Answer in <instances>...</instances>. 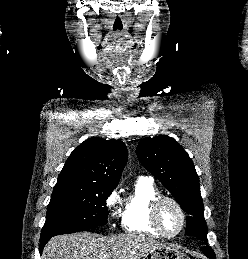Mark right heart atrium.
<instances>
[{"label": "right heart atrium", "instance_id": "obj_1", "mask_svg": "<svg viewBox=\"0 0 248 259\" xmlns=\"http://www.w3.org/2000/svg\"><path fill=\"white\" fill-rule=\"evenodd\" d=\"M118 203V192L114 190L107 198L106 205L109 209L113 210L116 208Z\"/></svg>", "mask_w": 248, "mask_h": 259}]
</instances>
